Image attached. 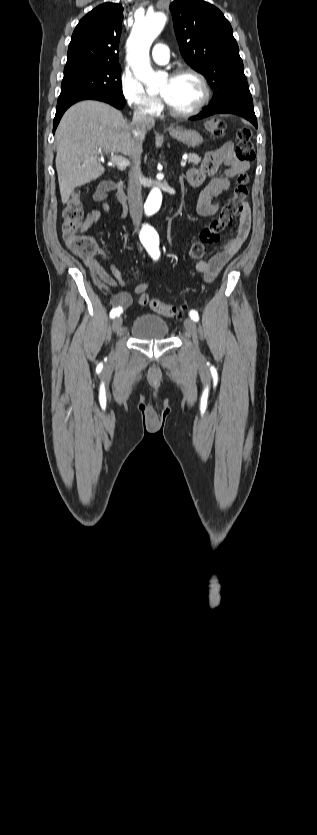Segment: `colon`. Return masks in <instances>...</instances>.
<instances>
[{"label": "colon", "instance_id": "colon-1", "mask_svg": "<svg viewBox=\"0 0 317 835\" xmlns=\"http://www.w3.org/2000/svg\"><path fill=\"white\" fill-rule=\"evenodd\" d=\"M225 130V123L219 119H211L205 123V131L213 137H221ZM236 156L242 161H252L255 158L254 145L251 140V132L248 128H241L236 134ZM249 194L248 176L245 173L239 174L232 195L224 204L219 214L202 229L199 241L192 244L189 249V257L192 260L201 259L207 248L218 242L221 233L234 221L237 214L243 209ZM83 216V202L79 191L73 192L66 201L62 210V230L69 247L80 257H90L94 254L97 246L92 237L86 234ZM141 306H149L158 315L167 318H177L183 313V308L165 303L159 299L151 298L146 293H141L138 298Z\"/></svg>", "mask_w": 317, "mask_h": 835}]
</instances>
